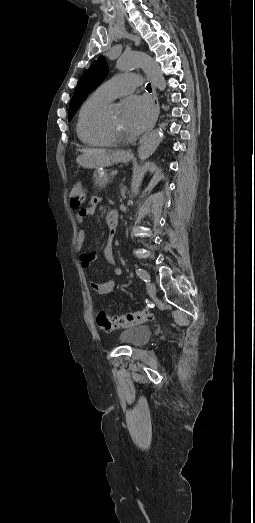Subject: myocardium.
<instances>
[{
  "mask_svg": "<svg viewBox=\"0 0 255 523\" xmlns=\"http://www.w3.org/2000/svg\"><path fill=\"white\" fill-rule=\"evenodd\" d=\"M97 128L106 136H108L113 142H130L133 141L132 137L124 138L120 136L108 116V110L104 109L99 115L96 121Z\"/></svg>",
  "mask_w": 255,
  "mask_h": 523,
  "instance_id": "1",
  "label": "myocardium"
}]
</instances>
